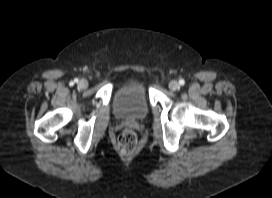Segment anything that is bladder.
<instances>
[{"label":"bladder","instance_id":"1","mask_svg":"<svg viewBox=\"0 0 272 198\" xmlns=\"http://www.w3.org/2000/svg\"><path fill=\"white\" fill-rule=\"evenodd\" d=\"M112 108L120 120H144L150 110L147 89L141 84L124 86L114 95Z\"/></svg>","mask_w":272,"mask_h":198}]
</instances>
